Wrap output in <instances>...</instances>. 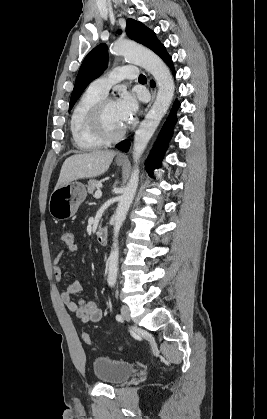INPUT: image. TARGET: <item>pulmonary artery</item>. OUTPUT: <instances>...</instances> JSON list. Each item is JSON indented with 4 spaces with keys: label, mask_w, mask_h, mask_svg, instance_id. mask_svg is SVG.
Here are the masks:
<instances>
[{
    "label": "pulmonary artery",
    "mask_w": 267,
    "mask_h": 419,
    "mask_svg": "<svg viewBox=\"0 0 267 419\" xmlns=\"http://www.w3.org/2000/svg\"><path fill=\"white\" fill-rule=\"evenodd\" d=\"M138 77L137 68L134 66H118L115 67L108 74L94 80L90 88L106 95L109 89L115 83L123 79H136Z\"/></svg>",
    "instance_id": "obj_1"
}]
</instances>
